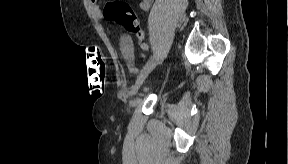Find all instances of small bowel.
Returning a JSON list of instances; mask_svg holds the SVG:
<instances>
[{"label": "small bowel", "instance_id": "small-bowel-1", "mask_svg": "<svg viewBox=\"0 0 288 164\" xmlns=\"http://www.w3.org/2000/svg\"><path fill=\"white\" fill-rule=\"evenodd\" d=\"M141 8L144 9V10L148 9L149 8V3L147 1L141 3Z\"/></svg>", "mask_w": 288, "mask_h": 164}]
</instances>
